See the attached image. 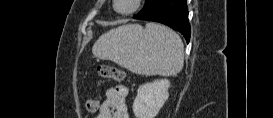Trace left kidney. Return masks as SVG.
<instances>
[{"label": "left kidney", "instance_id": "obj_1", "mask_svg": "<svg viewBox=\"0 0 273 118\" xmlns=\"http://www.w3.org/2000/svg\"><path fill=\"white\" fill-rule=\"evenodd\" d=\"M168 79L154 80L141 85L133 103L136 118H155L169 97Z\"/></svg>", "mask_w": 273, "mask_h": 118}]
</instances>
